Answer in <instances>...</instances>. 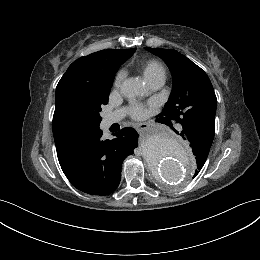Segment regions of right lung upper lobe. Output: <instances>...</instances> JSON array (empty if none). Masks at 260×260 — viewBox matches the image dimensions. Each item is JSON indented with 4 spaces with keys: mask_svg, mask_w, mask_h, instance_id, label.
I'll return each instance as SVG.
<instances>
[{
    "mask_svg": "<svg viewBox=\"0 0 260 260\" xmlns=\"http://www.w3.org/2000/svg\"><path fill=\"white\" fill-rule=\"evenodd\" d=\"M134 52V48L120 50L108 49L80 57L69 66L61 79L68 77H88L95 72L106 70L114 63L130 58ZM53 135L55 141L65 136L58 131L54 122Z\"/></svg>",
    "mask_w": 260,
    "mask_h": 260,
    "instance_id": "cb5924a9",
    "label": "right lung upper lobe"
}]
</instances>
